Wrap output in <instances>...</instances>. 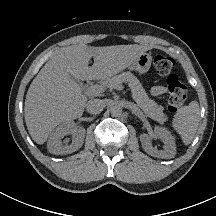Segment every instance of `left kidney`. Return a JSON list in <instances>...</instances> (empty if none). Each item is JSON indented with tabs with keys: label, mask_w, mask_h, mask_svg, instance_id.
Masks as SVG:
<instances>
[{
	"label": "left kidney",
	"mask_w": 216,
	"mask_h": 216,
	"mask_svg": "<svg viewBox=\"0 0 216 216\" xmlns=\"http://www.w3.org/2000/svg\"><path fill=\"white\" fill-rule=\"evenodd\" d=\"M154 137L159 138L163 142L164 150H158L152 146L151 140ZM140 141L144 151L151 156L162 159H170L176 154L175 139L166 128L157 126L154 129L153 135L145 133L141 134Z\"/></svg>",
	"instance_id": "1"
}]
</instances>
